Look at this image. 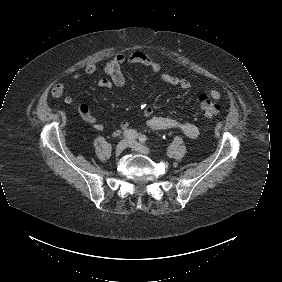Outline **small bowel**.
I'll list each match as a JSON object with an SVG mask.
<instances>
[{
    "label": "small bowel",
    "mask_w": 282,
    "mask_h": 282,
    "mask_svg": "<svg viewBox=\"0 0 282 282\" xmlns=\"http://www.w3.org/2000/svg\"><path fill=\"white\" fill-rule=\"evenodd\" d=\"M126 64L142 65L149 68L154 73H159L161 71V64L144 52L136 51L130 54L120 53L105 66L104 70L109 76V79H101L97 84L98 87L100 89H108L113 86L123 87L125 85V79L121 73V68ZM96 70L97 65L94 63H89L85 66L82 72L75 73L72 78L73 80H79L83 76L92 75L96 72ZM159 78L163 83L178 87L181 90L188 91L191 89V82L188 79L180 78L167 73L160 74ZM64 92L65 86L62 83H57L51 88V96L54 98L62 97ZM211 97L215 100L219 99V91L212 90ZM64 102L67 105H71L73 104L74 100L71 96H65ZM79 113L81 118L85 122L89 123L94 129H104V124L91 112L86 103H81L79 105ZM142 119L146 126L153 130H178L191 139H196L200 135L199 128L196 125L175 117L155 115L154 110L151 107H148L143 111ZM130 125L131 121L126 120L121 122L113 131V135H120L126 131Z\"/></svg>",
    "instance_id": "1"
}]
</instances>
